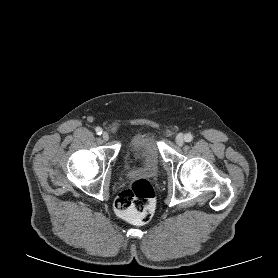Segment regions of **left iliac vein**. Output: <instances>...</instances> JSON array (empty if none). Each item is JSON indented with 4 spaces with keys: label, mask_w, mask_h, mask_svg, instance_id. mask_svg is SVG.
Segmentation results:
<instances>
[{
    "label": "left iliac vein",
    "mask_w": 278,
    "mask_h": 278,
    "mask_svg": "<svg viewBox=\"0 0 278 278\" xmlns=\"http://www.w3.org/2000/svg\"><path fill=\"white\" fill-rule=\"evenodd\" d=\"M175 142L178 146H182L184 144V136L183 134H178L176 136Z\"/></svg>",
    "instance_id": "4c4485c4"
}]
</instances>
